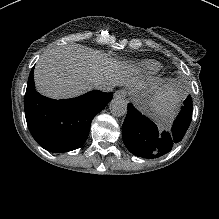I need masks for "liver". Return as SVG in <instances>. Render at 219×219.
Instances as JSON below:
<instances>
[{
	"instance_id": "liver-1",
	"label": "liver",
	"mask_w": 219,
	"mask_h": 219,
	"mask_svg": "<svg viewBox=\"0 0 219 219\" xmlns=\"http://www.w3.org/2000/svg\"><path fill=\"white\" fill-rule=\"evenodd\" d=\"M102 62L87 47H68L42 57L35 70L38 90L55 98L81 95L93 89V80L103 76Z\"/></svg>"
}]
</instances>
